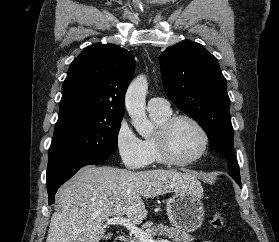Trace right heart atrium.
<instances>
[{"instance_id":"obj_1","label":"right heart atrium","mask_w":279,"mask_h":242,"mask_svg":"<svg viewBox=\"0 0 279 242\" xmlns=\"http://www.w3.org/2000/svg\"><path fill=\"white\" fill-rule=\"evenodd\" d=\"M115 147L121 162L129 169H141L150 163L144 141L136 135L126 119H122L117 126Z\"/></svg>"}]
</instances>
